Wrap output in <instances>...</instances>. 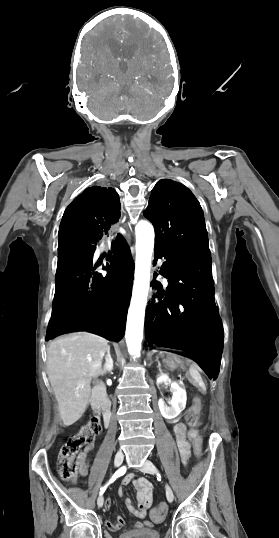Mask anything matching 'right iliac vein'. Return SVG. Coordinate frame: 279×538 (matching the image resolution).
Segmentation results:
<instances>
[{"label": "right iliac vein", "instance_id": "63e3f726", "mask_svg": "<svg viewBox=\"0 0 279 538\" xmlns=\"http://www.w3.org/2000/svg\"><path fill=\"white\" fill-rule=\"evenodd\" d=\"M123 460H124V455L122 453H117L114 458V465L116 467H119L122 464ZM103 503H104L103 496H99L97 499L98 507L101 508L103 506Z\"/></svg>", "mask_w": 279, "mask_h": 538}]
</instances>
